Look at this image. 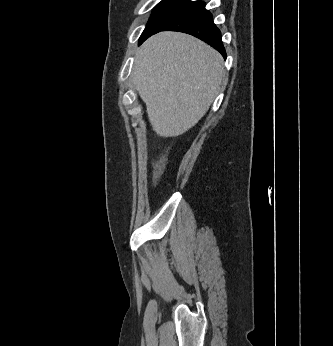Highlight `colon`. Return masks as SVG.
I'll return each instance as SVG.
<instances>
[{"instance_id":"1","label":"colon","mask_w":333,"mask_h":346,"mask_svg":"<svg viewBox=\"0 0 333 346\" xmlns=\"http://www.w3.org/2000/svg\"><path fill=\"white\" fill-rule=\"evenodd\" d=\"M163 163H164V160H161L158 164H157V167H156V173H155V178H158L161 170H162V167H163Z\"/></svg>"}]
</instances>
